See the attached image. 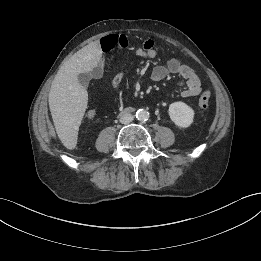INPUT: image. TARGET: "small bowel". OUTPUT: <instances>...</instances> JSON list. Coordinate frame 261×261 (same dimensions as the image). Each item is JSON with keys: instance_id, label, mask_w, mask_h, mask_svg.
I'll use <instances>...</instances> for the list:
<instances>
[{"instance_id": "1", "label": "small bowel", "mask_w": 261, "mask_h": 261, "mask_svg": "<svg viewBox=\"0 0 261 261\" xmlns=\"http://www.w3.org/2000/svg\"><path fill=\"white\" fill-rule=\"evenodd\" d=\"M100 48L103 54L110 52L115 48L131 49L135 55L144 58H153L157 54L156 44L152 39H145L140 45H130L127 36L120 34H110L100 40ZM103 74V59L98 63L93 71L95 78H100ZM175 74L183 79L180 84L182 87L181 95L183 97H195L201 92V82L195 71L188 65L182 63L177 58H172L166 64L156 66L151 72V79L159 82L164 80L167 76ZM124 72L119 71L112 79V86L118 87L123 80ZM95 111L90 110L87 113L88 118L95 117Z\"/></svg>"}]
</instances>
